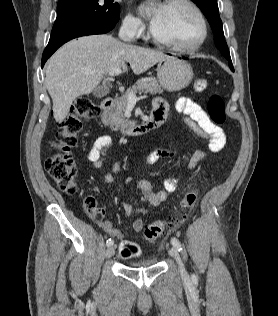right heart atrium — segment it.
<instances>
[{"label":"right heart atrium","mask_w":278,"mask_h":316,"mask_svg":"<svg viewBox=\"0 0 278 316\" xmlns=\"http://www.w3.org/2000/svg\"><path fill=\"white\" fill-rule=\"evenodd\" d=\"M121 28L130 38H139L145 32V25L142 20L131 13L123 18Z\"/></svg>","instance_id":"right-heart-atrium-1"}]
</instances>
